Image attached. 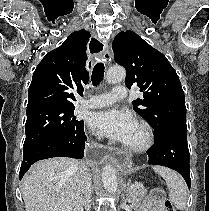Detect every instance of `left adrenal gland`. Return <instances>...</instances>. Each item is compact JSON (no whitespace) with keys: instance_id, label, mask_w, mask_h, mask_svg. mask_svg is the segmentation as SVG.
<instances>
[{"instance_id":"1","label":"left adrenal gland","mask_w":209,"mask_h":211,"mask_svg":"<svg viewBox=\"0 0 209 211\" xmlns=\"http://www.w3.org/2000/svg\"><path fill=\"white\" fill-rule=\"evenodd\" d=\"M126 200H128V194H129V191H130V189H129V185H127L126 187Z\"/></svg>"}]
</instances>
